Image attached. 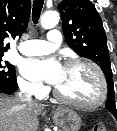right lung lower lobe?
I'll return each mask as SVG.
<instances>
[{"label":"right lung lower lobe","instance_id":"1","mask_svg":"<svg viewBox=\"0 0 117 131\" xmlns=\"http://www.w3.org/2000/svg\"><path fill=\"white\" fill-rule=\"evenodd\" d=\"M15 91H16V90L6 89L5 87L0 86V93L12 94V93H14Z\"/></svg>","mask_w":117,"mask_h":131}]
</instances>
